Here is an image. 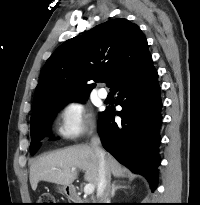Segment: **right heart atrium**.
<instances>
[{"mask_svg":"<svg viewBox=\"0 0 200 205\" xmlns=\"http://www.w3.org/2000/svg\"><path fill=\"white\" fill-rule=\"evenodd\" d=\"M93 129L92 115L76 100L64 103L58 113L57 133L64 140H77Z\"/></svg>","mask_w":200,"mask_h":205,"instance_id":"right-heart-atrium-1","label":"right heart atrium"}]
</instances>
